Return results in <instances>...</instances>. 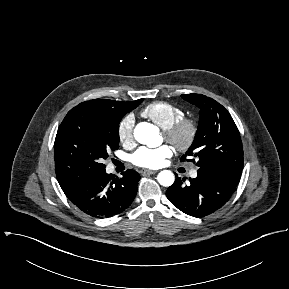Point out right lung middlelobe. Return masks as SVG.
Instances as JSON below:
<instances>
[{
    "instance_id": "obj_1",
    "label": "right lung middle lobe",
    "mask_w": 289,
    "mask_h": 289,
    "mask_svg": "<svg viewBox=\"0 0 289 289\" xmlns=\"http://www.w3.org/2000/svg\"><path fill=\"white\" fill-rule=\"evenodd\" d=\"M136 106L115 112L73 108L58 128L54 143L55 172L65 187H76L105 171L103 159L118 149L119 122Z\"/></svg>"
}]
</instances>
